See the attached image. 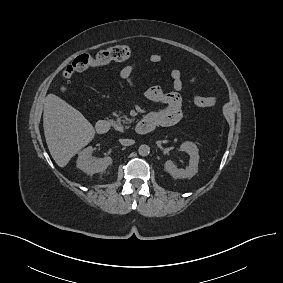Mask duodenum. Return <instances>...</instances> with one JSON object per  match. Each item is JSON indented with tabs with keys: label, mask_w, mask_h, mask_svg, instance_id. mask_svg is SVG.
<instances>
[{
	"label": "duodenum",
	"mask_w": 283,
	"mask_h": 283,
	"mask_svg": "<svg viewBox=\"0 0 283 283\" xmlns=\"http://www.w3.org/2000/svg\"><path fill=\"white\" fill-rule=\"evenodd\" d=\"M96 131L99 134H106L110 129V122L108 120L102 119L97 121L95 125ZM155 128V124L148 118H143L139 121L135 127V131L138 134H146L151 132Z\"/></svg>",
	"instance_id": "1"
}]
</instances>
